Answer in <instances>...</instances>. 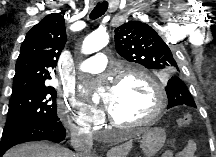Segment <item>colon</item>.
I'll list each match as a JSON object with an SVG mask.
<instances>
[{"mask_svg": "<svg viewBox=\"0 0 216 157\" xmlns=\"http://www.w3.org/2000/svg\"><path fill=\"white\" fill-rule=\"evenodd\" d=\"M192 121V116L189 113H184L177 119L179 127H187Z\"/></svg>", "mask_w": 216, "mask_h": 157, "instance_id": "colon-1", "label": "colon"}]
</instances>
